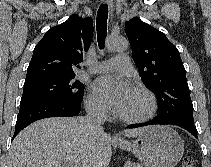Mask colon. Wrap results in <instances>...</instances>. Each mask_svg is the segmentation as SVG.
Here are the masks:
<instances>
[{"instance_id":"obj_1","label":"colon","mask_w":211,"mask_h":167,"mask_svg":"<svg viewBox=\"0 0 211 167\" xmlns=\"http://www.w3.org/2000/svg\"><path fill=\"white\" fill-rule=\"evenodd\" d=\"M181 167H195L194 160L192 158H186Z\"/></svg>"}]
</instances>
